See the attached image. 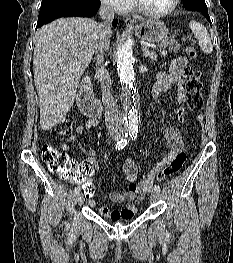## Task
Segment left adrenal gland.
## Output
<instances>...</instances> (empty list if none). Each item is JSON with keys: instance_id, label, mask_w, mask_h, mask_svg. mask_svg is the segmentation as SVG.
Instances as JSON below:
<instances>
[{"instance_id": "left-adrenal-gland-1", "label": "left adrenal gland", "mask_w": 233, "mask_h": 263, "mask_svg": "<svg viewBox=\"0 0 233 263\" xmlns=\"http://www.w3.org/2000/svg\"><path fill=\"white\" fill-rule=\"evenodd\" d=\"M143 57H149L152 62L156 61L157 55L150 51L146 46H142Z\"/></svg>"}]
</instances>
